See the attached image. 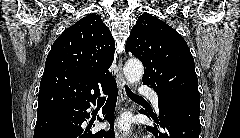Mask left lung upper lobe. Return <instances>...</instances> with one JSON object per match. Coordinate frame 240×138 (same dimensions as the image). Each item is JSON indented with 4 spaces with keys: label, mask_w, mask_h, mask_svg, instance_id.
Instances as JSON below:
<instances>
[{
    "label": "left lung upper lobe",
    "mask_w": 240,
    "mask_h": 138,
    "mask_svg": "<svg viewBox=\"0 0 240 138\" xmlns=\"http://www.w3.org/2000/svg\"><path fill=\"white\" fill-rule=\"evenodd\" d=\"M126 52L144 65L143 83L160 98L196 95L198 78L186 41L165 22L150 14L139 16L126 42Z\"/></svg>",
    "instance_id": "obj_1"
}]
</instances>
